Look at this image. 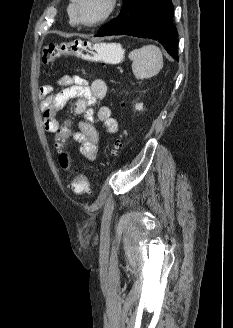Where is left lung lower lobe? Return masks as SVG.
Returning a JSON list of instances; mask_svg holds the SVG:
<instances>
[{"mask_svg":"<svg viewBox=\"0 0 233 328\" xmlns=\"http://www.w3.org/2000/svg\"><path fill=\"white\" fill-rule=\"evenodd\" d=\"M120 14L105 24L98 37L130 35L151 38L164 45L178 60L177 30L172 22L174 8L171 0H124Z\"/></svg>","mask_w":233,"mask_h":328,"instance_id":"left-lung-lower-lobe-1","label":"left lung lower lobe"}]
</instances>
